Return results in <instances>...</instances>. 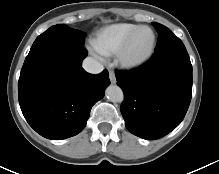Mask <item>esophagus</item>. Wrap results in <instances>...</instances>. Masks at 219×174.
Segmentation results:
<instances>
[{"instance_id":"esophagus-1","label":"esophagus","mask_w":219,"mask_h":174,"mask_svg":"<svg viewBox=\"0 0 219 174\" xmlns=\"http://www.w3.org/2000/svg\"><path fill=\"white\" fill-rule=\"evenodd\" d=\"M109 78L112 84L116 83V77H115V73L112 70H109Z\"/></svg>"}]
</instances>
